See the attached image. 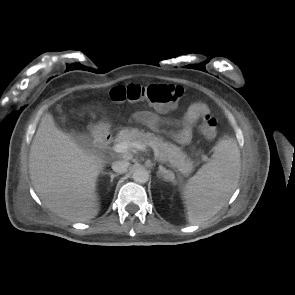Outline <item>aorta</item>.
Masks as SVG:
<instances>
[{
  "label": "aorta",
  "instance_id": "obj_1",
  "mask_svg": "<svg viewBox=\"0 0 295 295\" xmlns=\"http://www.w3.org/2000/svg\"><path fill=\"white\" fill-rule=\"evenodd\" d=\"M132 178L137 183H146L149 179V173L145 168H137L132 175Z\"/></svg>",
  "mask_w": 295,
  "mask_h": 295
}]
</instances>
